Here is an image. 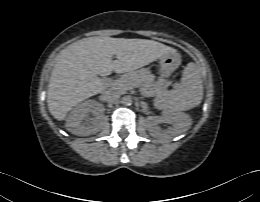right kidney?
<instances>
[{"label": "right kidney", "instance_id": "ca27d5eb", "mask_svg": "<svg viewBox=\"0 0 260 202\" xmlns=\"http://www.w3.org/2000/svg\"><path fill=\"white\" fill-rule=\"evenodd\" d=\"M92 114V118H88ZM104 107L95 100L78 104L66 119L67 129L74 135L89 136L97 133L102 125Z\"/></svg>", "mask_w": 260, "mask_h": 202}]
</instances>
